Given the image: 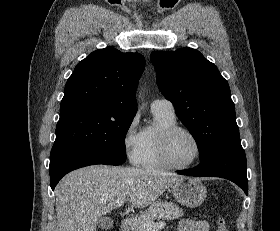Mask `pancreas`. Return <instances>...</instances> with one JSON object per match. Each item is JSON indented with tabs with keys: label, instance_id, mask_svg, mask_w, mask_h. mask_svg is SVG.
I'll list each match as a JSON object with an SVG mask.
<instances>
[{
	"label": "pancreas",
	"instance_id": "pancreas-1",
	"mask_svg": "<svg viewBox=\"0 0 280 231\" xmlns=\"http://www.w3.org/2000/svg\"><path fill=\"white\" fill-rule=\"evenodd\" d=\"M183 209L173 201H154L147 211H141L138 217H134L124 231H145V223L148 219H177L182 217Z\"/></svg>",
	"mask_w": 280,
	"mask_h": 231
}]
</instances>
